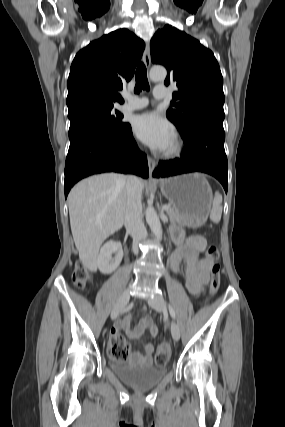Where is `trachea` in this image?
Returning <instances> with one entry per match:
<instances>
[{
	"label": "trachea",
	"instance_id": "1",
	"mask_svg": "<svg viewBox=\"0 0 285 427\" xmlns=\"http://www.w3.org/2000/svg\"><path fill=\"white\" fill-rule=\"evenodd\" d=\"M136 85H135V93H140L142 89L147 91L150 90L148 79H147V70L143 63H140L137 67L136 74Z\"/></svg>",
	"mask_w": 285,
	"mask_h": 427
}]
</instances>
